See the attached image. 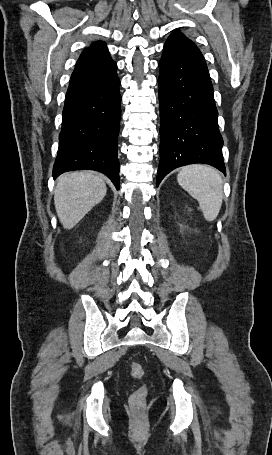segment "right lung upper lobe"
<instances>
[{"label":"right lung upper lobe","instance_id":"obj_1","mask_svg":"<svg viewBox=\"0 0 272 455\" xmlns=\"http://www.w3.org/2000/svg\"><path fill=\"white\" fill-rule=\"evenodd\" d=\"M116 68L117 65L110 57L106 44L101 41L94 42L79 57L69 85L107 75Z\"/></svg>","mask_w":272,"mask_h":455}]
</instances>
